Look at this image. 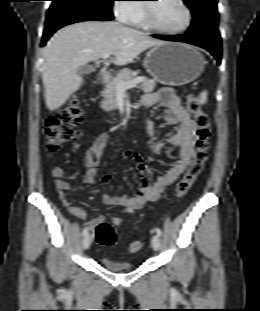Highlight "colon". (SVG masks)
<instances>
[{
  "mask_svg": "<svg viewBox=\"0 0 260 311\" xmlns=\"http://www.w3.org/2000/svg\"><path fill=\"white\" fill-rule=\"evenodd\" d=\"M187 109L193 116L196 126L195 151L191 165L183 178L177 183L175 197H183L190 189L194 181L202 172L208 159L211 139L210 118L200 108L198 98L195 95L187 97ZM83 109L76 100L71 101L57 116L46 121L45 135L46 148L51 154L57 153L63 143L76 139L79 136V126L82 122ZM95 237L99 244L104 246L114 245L117 235L113 225L108 222L99 223L94 229ZM141 241L129 244L128 251L136 253L142 248Z\"/></svg>",
  "mask_w": 260,
  "mask_h": 311,
  "instance_id": "1",
  "label": "colon"
}]
</instances>
